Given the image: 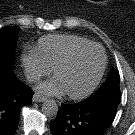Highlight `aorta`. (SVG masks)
Masks as SVG:
<instances>
[{"label": "aorta", "mask_w": 135, "mask_h": 135, "mask_svg": "<svg viewBox=\"0 0 135 135\" xmlns=\"http://www.w3.org/2000/svg\"><path fill=\"white\" fill-rule=\"evenodd\" d=\"M42 112L48 117L57 115L58 105L54 100H46L42 105Z\"/></svg>", "instance_id": "aorta-1"}]
</instances>
